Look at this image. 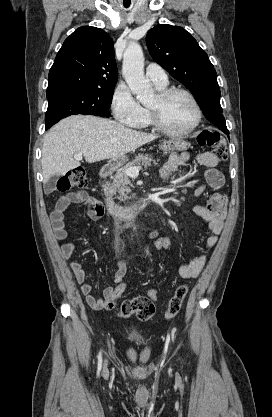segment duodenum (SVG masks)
Wrapping results in <instances>:
<instances>
[{
  "label": "duodenum",
  "instance_id": "duodenum-1",
  "mask_svg": "<svg viewBox=\"0 0 272 417\" xmlns=\"http://www.w3.org/2000/svg\"><path fill=\"white\" fill-rule=\"evenodd\" d=\"M114 170L112 163H107L100 168L99 174L104 177ZM147 199L140 200L130 205L117 204L108 192H105V207L108 214L116 219L129 218L143 213L149 206Z\"/></svg>",
  "mask_w": 272,
  "mask_h": 417
}]
</instances>
